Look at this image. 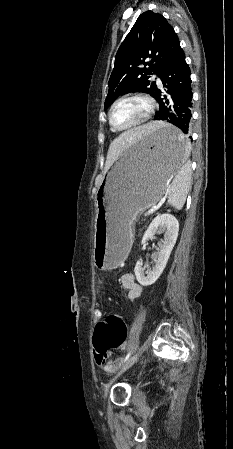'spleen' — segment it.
I'll return each mask as SVG.
<instances>
[{"label":"spleen","mask_w":233,"mask_h":449,"mask_svg":"<svg viewBox=\"0 0 233 449\" xmlns=\"http://www.w3.org/2000/svg\"><path fill=\"white\" fill-rule=\"evenodd\" d=\"M190 143L187 144L186 150L187 155L190 153ZM191 187V166L189 162L186 161L178 169V172L173 179L168 190V204L181 210L185 204L187 194Z\"/></svg>","instance_id":"1"}]
</instances>
